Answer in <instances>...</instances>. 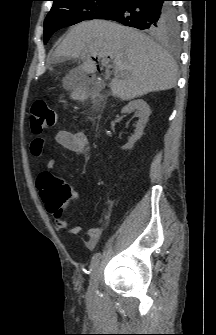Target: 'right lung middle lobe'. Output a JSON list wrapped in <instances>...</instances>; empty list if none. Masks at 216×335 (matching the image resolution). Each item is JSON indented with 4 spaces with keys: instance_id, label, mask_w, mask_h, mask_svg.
<instances>
[{
    "instance_id": "1",
    "label": "right lung middle lobe",
    "mask_w": 216,
    "mask_h": 335,
    "mask_svg": "<svg viewBox=\"0 0 216 335\" xmlns=\"http://www.w3.org/2000/svg\"><path fill=\"white\" fill-rule=\"evenodd\" d=\"M53 7L44 21V43L57 30L74 25L83 20L96 19L108 10L117 0H53ZM174 8V7H173ZM174 11L169 15L172 16ZM178 23L163 25L159 33H151L159 37L175 39L178 36Z\"/></svg>"
}]
</instances>
